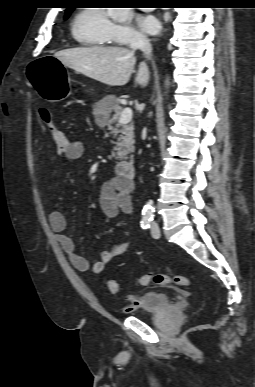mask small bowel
Masks as SVG:
<instances>
[{
  "label": "small bowel",
  "mask_w": 255,
  "mask_h": 387,
  "mask_svg": "<svg viewBox=\"0 0 255 387\" xmlns=\"http://www.w3.org/2000/svg\"><path fill=\"white\" fill-rule=\"evenodd\" d=\"M84 150V144L81 141H70L68 150L60 154V157L66 161L76 160L83 155ZM130 192L131 183H127L118 177L109 180L102 186L99 203L106 219L115 218L119 212H131ZM49 224L70 263L76 270L81 272L90 270L95 275L101 274L107 263L124 255L131 246L128 239L120 238L101 253L98 261L90 265L89 260L78 253L73 240L66 234L67 222L60 211H52L49 214ZM139 302V298L130 297L126 310L133 309Z\"/></svg>",
  "instance_id": "1"
}]
</instances>
